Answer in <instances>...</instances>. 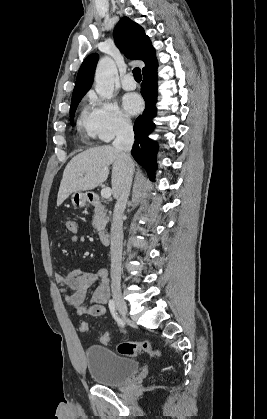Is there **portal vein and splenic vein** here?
I'll list each match as a JSON object with an SVG mask.
<instances>
[{
    "label": "portal vein and splenic vein",
    "instance_id": "18ae733b",
    "mask_svg": "<svg viewBox=\"0 0 267 419\" xmlns=\"http://www.w3.org/2000/svg\"><path fill=\"white\" fill-rule=\"evenodd\" d=\"M111 194H112V190H111V188H109V187L103 188V189L101 190V196H102L103 198H105V199L110 198V197H111Z\"/></svg>",
    "mask_w": 267,
    "mask_h": 419
}]
</instances>
